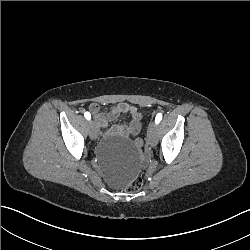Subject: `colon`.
Here are the masks:
<instances>
[{
  "instance_id": "1",
  "label": "colon",
  "mask_w": 250,
  "mask_h": 250,
  "mask_svg": "<svg viewBox=\"0 0 250 250\" xmlns=\"http://www.w3.org/2000/svg\"><path fill=\"white\" fill-rule=\"evenodd\" d=\"M133 119L134 120H141L143 118V113L142 112H136L133 114ZM134 144L136 147H141L144 144V139L143 138H135L134 139ZM144 186V181L141 178H136L131 181L129 186L125 187V192L126 193H131V192H139Z\"/></svg>"
}]
</instances>
